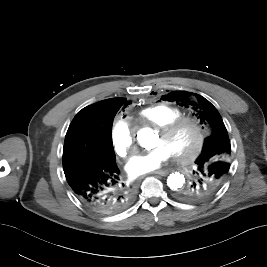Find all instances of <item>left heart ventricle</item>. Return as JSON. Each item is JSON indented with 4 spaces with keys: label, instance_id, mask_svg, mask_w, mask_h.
I'll return each mask as SVG.
<instances>
[{
    "label": "left heart ventricle",
    "instance_id": "obj_1",
    "mask_svg": "<svg viewBox=\"0 0 267 267\" xmlns=\"http://www.w3.org/2000/svg\"><path fill=\"white\" fill-rule=\"evenodd\" d=\"M196 140V130L190 124L182 125L177 131L168 137H162L160 134L156 138L154 146L162 145L170 153L185 154L189 152Z\"/></svg>",
    "mask_w": 267,
    "mask_h": 267
}]
</instances>
